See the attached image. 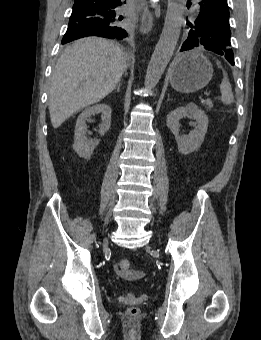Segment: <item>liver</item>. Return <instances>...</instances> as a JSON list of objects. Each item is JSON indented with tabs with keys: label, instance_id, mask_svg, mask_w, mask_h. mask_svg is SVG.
Returning a JSON list of instances; mask_svg holds the SVG:
<instances>
[{
	"label": "liver",
	"instance_id": "liver-1",
	"mask_svg": "<svg viewBox=\"0 0 261 340\" xmlns=\"http://www.w3.org/2000/svg\"><path fill=\"white\" fill-rule=\"evenodd\" d=\"M127 57L113 42L88 37L67 47L52 73L49 112L58 128L74 113L111 93L125 71Z\"/></svg>",
	"mask_w": 261,
	"mask_h": 340
}]
</instances>
